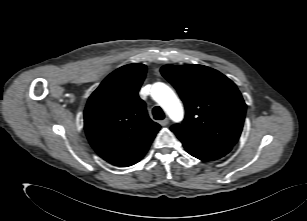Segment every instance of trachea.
<instances>
[{
	"label": "trachea",
	"mask_w": 307,
	"mask_h": 221,
	"mask_svg": "<svg viewBox=\"0 0 307 221\" xmlns=\"http://www.w3.org/2000/svg\"><path fill=\"white\" fill-rule=\"evenodd\" d=\"M152 114H153L154 119L156 120H162L165 117L163 110L159 106H155L153 108Z\"/></svg>",
	"instance_id": "3493384b"
}]
</instances>
